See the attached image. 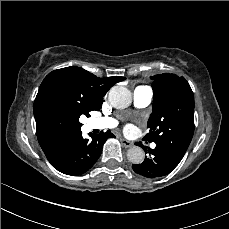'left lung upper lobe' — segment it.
Masks as SVG:
<instances>
[{"label": "left lung upper lobe", "mask_w": 229, "mask_h": 229, "mask_svg": "<svg viewBox=\"0 0 229 229\" xmlns=\"http://www.w3.org/2000/svg\"><path fill=\"white\" fill-rule=\"evenodd\" d=\"M153 111L148 120L149 133L143 138L163 145L182 159L194 134V96L187 80L175 74L151 77Z\"/></svg>", "instance_id": "1"}]
</instances>
